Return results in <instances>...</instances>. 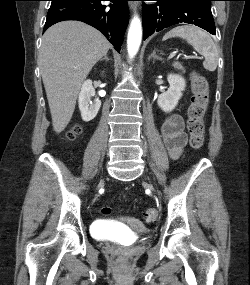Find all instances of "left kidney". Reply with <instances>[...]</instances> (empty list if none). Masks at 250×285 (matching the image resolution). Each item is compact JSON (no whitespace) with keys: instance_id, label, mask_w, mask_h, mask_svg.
<instances>
[{"instance_id":"left-kidney-1","label":"left kidney","mask_w":250,"mask_h":285,"mask_svg":"<svg viewBox=\"0 0 250 285\" xmlns=\"http://www.w3.org/2000/svg\"><path fill=\"white\" fill-rule=\"evenodd\" d=\"M167 80L169 88L166 92L158 96L157 104L163 112L170 113L175 109L181 99L183 95L182 92L186 87V82L181 75L177 74H168Z\"/></svg>"}]
</instances>
